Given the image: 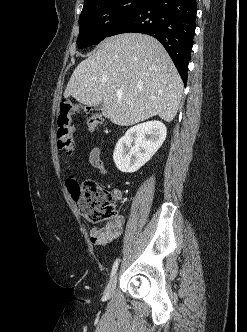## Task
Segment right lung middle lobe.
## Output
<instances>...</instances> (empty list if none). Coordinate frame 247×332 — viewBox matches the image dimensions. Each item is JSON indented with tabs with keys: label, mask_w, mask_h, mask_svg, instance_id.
<instances>
[{
	"label": "right lung middle lobe",
	"mask_w": 247,
	"mask_h": 332,
	"mask_svg": "<svg viewBox=\"0 0 247 332\" xmlns=\"http://www.w3.org/2000/svg\"><path fill=\"white\" fill-rule=\"evenodd\" d=\"M147 0H100L84 8L79 17L80 49L98 44L106 38L117 22L133 12Z\"/></svg>",
	"instance_id": "1"
}]
</instances>
